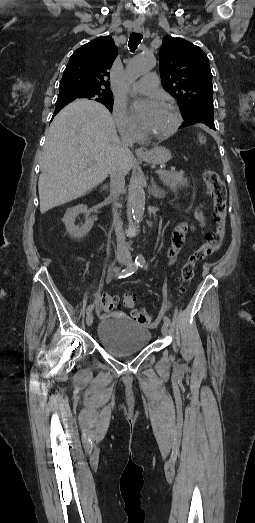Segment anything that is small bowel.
Returning <instances> with one entry per match:
<instances>
[{"instance_id": "c3829d8e", "label": "small bowel", "mask_w": 255, "mask_h": 523, "mask_svg": "<svg viewBox=\"0 0 255 523\" xmlns=\"http://www.w3.org/2000/svg\"><path fill=\"white\" fill-rule=\"evenodd\" d=\"M202 209H203L202 206H200L196 209L195 218L198 221V223L203 226L205 224V218H204ZM188 230H189L188 223H180L175 227V229L172 233L171 246H170L169 250L167 251V257L169 259L170 264H173L175 262L176 256L179 253V251L181 250V248L185 242V237H186ZM116 270L117 269H114V271H116ZM95 298L98 300L99 295H95Z\"/></svg>"}]
</instances>
